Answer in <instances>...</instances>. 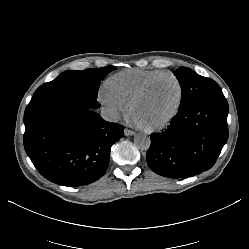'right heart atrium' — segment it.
Segmentation results:
<instances>
[{"instance_id": "right-heart-atrium-1", "label": "right heart atrium", "mask_w": 249, "mask_h": 249, "mask_svg": "<svg viewBox=\"0 0 249 249\" xmlns=\"http://www.w3.org/2000/svg\"><path fill=\"white\" fill-rule=\"evenodd\" d=\"M98 102L111 119H116L128 111V105L110 95L105 89L99 93Z\"/></svg>"}]
</instances>
